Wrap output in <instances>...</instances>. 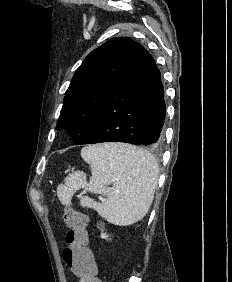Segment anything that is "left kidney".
I'll return each instance as SVG.
<instances>
[{
	"mask_svg": "<svg viewBox=\"0 0 232 282\" xmlns=\"http://www.w3.org/2000/svg\"><path fill=\"white\" fill-rule=\"evenodd\" d=\"M101 229H102V231H103V226H101ZM101 238L102 239H107L108 238V235L106 234V233H101Z\"/></svg>",
	"mask_w": 232,
	"mask_h": 282,
	"instance_id": "left-kidney-1",
	"label": "left kidney"
}]
</instances>
